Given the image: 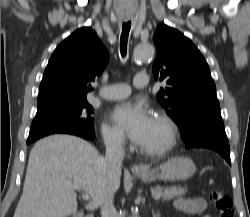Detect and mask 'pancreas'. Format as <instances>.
Instances as JSON below:
<instances>
[{
	"instance_id": "cf45deb5",
	"label": "pancreas",
	"mask_w": 250,
	"mask_h": 217,
	"mask_svg": "<svg viewBox=\"0 0 250 217\" xmlns=\"http://www.w3.org/2000/svg\"><path fill=\"white\" fill-rule=\"evenodd\" d=\"M188 190L185 187H181V186H174V187H161V186H156L153 190H152V194H160L163 198V200H172L176 197H180L183 196L185 194H187Z\"/></svg>"
}]
</instances>
